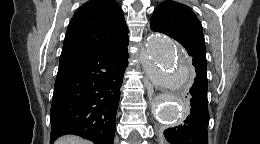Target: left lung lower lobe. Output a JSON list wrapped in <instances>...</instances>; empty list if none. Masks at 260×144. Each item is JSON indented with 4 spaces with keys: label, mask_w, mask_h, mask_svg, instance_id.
<instances>
[{
    "label": "left lung lower lobe",
    "mask_w": 260,
    "mask_h": 144,
    "mask_svg": "<svg viewBox=\"0 0 260 144\" xmlns=\"http://www.w3.org/2000/svg\"><path fill=\"white\" fill-rule=\"evenodd\" d=\"M188 54L196 68L195 82L186 96L191 102V111L182 124L166 129L164 135L171 144H208L207 67L201 68L197 63L202 60L207 64V61L197 52L188 51Z\"/></svg>",
    "instance_id": "obj_1"
}]
</instances>
